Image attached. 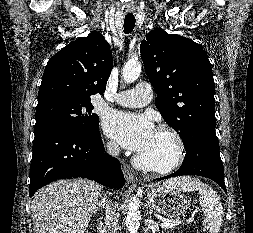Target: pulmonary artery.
Returning <instances> with one entry per match:
<instances>
[{
  "label": "pulmonary artery",
  "instance_id": "e3ab8cb5",
  "mask_svg": "<svg viewBox=\"0 0 253 233\" xmlns=\"http://www.w3.org/2000/svg\"><path fill=\"white\" fill-rule=\"evenodd\" d=\"M152 88L148 83H139L134 89L119 92L115 95L114 101L125 107H142L152 100Z\"/></svg>",
  "mask_w": 253,
  "mask_h": 233
}]
</instances>
